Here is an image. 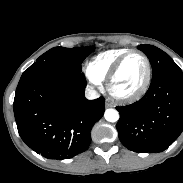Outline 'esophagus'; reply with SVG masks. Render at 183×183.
I'll use <instances>...</instances> for the list:
<instances>
[{
	"instance_id": "obj_1",
	"label": "esophagus",
	"mask_w": 183,
	"mask_h": 183,
	"mask_svg": "<svg viewBox=\"0 0 183 183\" xmlns=\"http://www.w3.org/2000/svg\"><path fill=\"white\" fill-rule=\"evenodd\" d=\"M105 106L108 108V107H111L112 104L111 102L107 99L106 102H105Z\"/></svg>"
}]
</instances>
